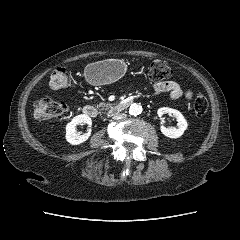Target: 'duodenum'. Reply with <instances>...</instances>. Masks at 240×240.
Listing matches in <instances>:
<instances>
[{
    "label": "duodenum",
    "instance_id": "duodenum-1",
    "mask_svg": "<svg viewBox=\"0 0 240 240\" xmlns=\"http://www.w3.org/2000/svg\"><path fill=\"white\" fill-rule=\"evenodd\" d=\"M132 103H133L132 100H124L114 103L109 107L108 112L109 113L121 112L127 109ZM82 112L84 115L88 117H95L97 115V110L91 105H85L82 109Z\"/></svg>",
    "mask_w": 240,
    "mask_h": 240
}]
</instances>
